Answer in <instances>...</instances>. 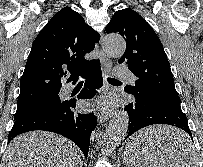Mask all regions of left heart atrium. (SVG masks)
Here are the masks:
<instances>
[{
    "mask_svg": "<svg viewBox=\"0 0 203 167\" xmlns=\"http://www.w3.org/2000/svg\"><path fill=\"white\" fill-rule=\"evenodd\" d=\"M98 106L101 109H106L110 106V101L109 100H102V101L98 102Z\"/></svg>",
    "mask_w": 203,
    "mask_h": 167,
    "instance_id": "obj_1",
    "label": "left heart atrium"
}]
</instances>
